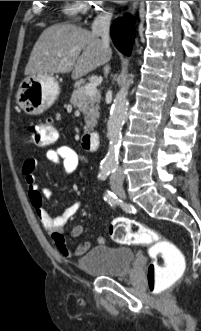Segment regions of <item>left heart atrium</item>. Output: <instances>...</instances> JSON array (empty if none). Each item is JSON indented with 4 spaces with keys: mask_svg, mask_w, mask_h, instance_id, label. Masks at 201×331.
Instances as JSON below:
<instances>
[{
    "mask_svg": "<svg viewBox=\"0 0 201 331\" xmlns=\"http://www.w3.org/2000/svg\"><path fill=\"white\" fill-rule=\"evenodd\" d=\"M116 2H118V3H124V2H126V1H116Z\"/></svg>",
    "mask_w": 201,
    "mask_h": 331,
    "instance_id": "obj_1",
    "label": "left heart atrium"
}]
</instances>
